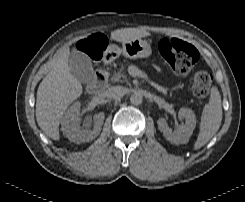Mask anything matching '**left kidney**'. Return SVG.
<instances>
[{
    "label": "left kidney",
    "mask_w": 245,
    "mask_h": 202,
    "mask_svg": "<svg viewBox=\"0 0 245 202\" xmlns=\"http://www.w3.org/2000/svg\"><path fill=\"white\" fill-rule=\"evenodd\" d=\"M178 116L180 119L185 120V124L179 125L174 132L169 128L164 118L161 117L157 121L158 128L163 133L166 140L176 145L187 143L196 126V116L191 109L181 108L178 112Z\"/></svg>",
    "instance_id": "obj_1"
}]
</instances>
